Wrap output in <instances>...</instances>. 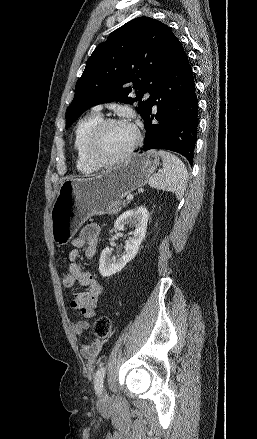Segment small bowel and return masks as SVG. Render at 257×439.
Listing matches in <instances>:
<instances>
[{
  "mask_svg": "<svg viewBox=\"0 0 257 439\" xmlns=\"http://www.w3.org/2000/svg\"><path fill=\"white\" fill-rule=\"evenodd\" d=\"M100 228L97 225L84 227L80 234L72 240L73 249L69 252L68 258L70 265L68 272L73 276L83 289L74 294L70 301V306L76 313H80L84 318L94 317L95 309L98 305V298L102 293V286L90 273L84 271L78 261L82 258H93L96 254L99 241ZM90 324L86 320H77L73 324V332L76 336H81ZM80 354L86 361V368H94L100 353L102 342L99 338H94L90 344L78 342Z\"/></svg>",
  "mask_w": 257,
  "mask_h": 439,
  "instance_id": "small-bowel-1",
  "label": "small bowel"
}]
</instances>
